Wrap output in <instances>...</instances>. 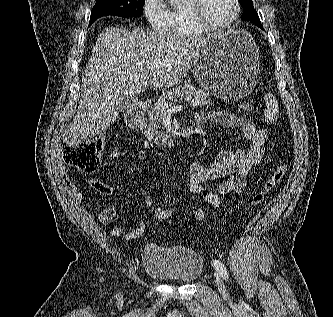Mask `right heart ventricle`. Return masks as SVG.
Returning a JSON list of instances; mask_svg holds the SVG:
<instances>
[{"label": "right heart ventricle", "mask_w": 333, "mask_h": 317, "mask_svg": "<svg viewBox=\"0 0 333 317\" xmlns=\"http://www.w3.org/2000/svg\"><path fill=\"white\" fill-rule=\"evenodd\" d=\"M189 0H178L166 9L167 26L166 32L177 38H194L205 33L192 21L188 11Z\"/></svg>", "instance_id": "right-heart-ventricle-1"}]
</instances>
